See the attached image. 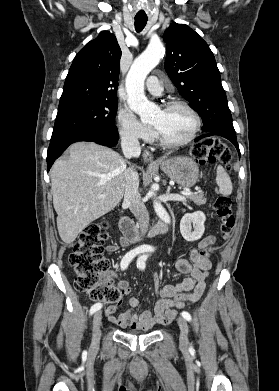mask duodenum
Segmentation results:
<instances>
[{
    "instance_id": "410a0bca",
    "label": "duodenum",
    "mask_w": 279,
    "mask_h": 391,
    "mask_svg": "<svg viewBox=\"0 0 279 391\" xmlns=\"http://www.w3.org/2000/svg\"><path fill=\"white\" fill-rule=\"evenodd\" d=\"M119 228L124 236V241L126 243H136L144 239L152 238L156 235L166 233L169 230L170 225L163 220H159L151 229H149L143 235L139 228L129 217L121 216L119 220Z\"/></svg>"
}]
</instances>
